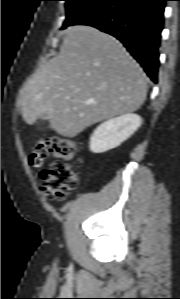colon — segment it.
I'll list each match as a JSON object with an SVG mask.
<instances>
[{"mask_svg":"<svg viewBox=\"0 0 180 299\" xmlns=\"http://www.w3.org/2000/svg\"><path fill=\"white\" fill-rule=\"evenodd\" d=\"M49 155L57 160L41 173V191L47 200L60 201L74 191L79 182L70 164L75 157L74 141L59 135L40 139L29 153V165L40 167Z\"/></svg>","mask_w":180,"mask_h":299,"instance_id":"5ec220e1","label":"colon"}]
</instances>
